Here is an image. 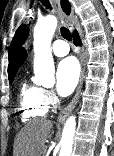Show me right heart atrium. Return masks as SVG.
<instances>
[{
    "label": "right heart atrium",
    "instance_id": "1",
    "mask_svg": "<svg viewBox=\"0 0 114 156\" xmlns=\"http://www.w3.org/2000/svg\"><path fill=\"white\" fill-rule=\"evenodd\" d=\"M43 97L48 105H54L56 102V95L52 90L44 89Z\"/></svg>",
    "mask_w": 114,
    "mask_h": 156
}]
</instances>
